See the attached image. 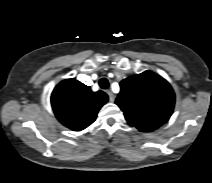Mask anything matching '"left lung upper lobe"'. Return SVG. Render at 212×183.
<instances>
[{"label": "left lung upper lobe", "instance_id": "obj_1", "mask_svg": "<svg viewBox=\"0 0 212 183\" xmlns=\"http://www.w3.org/2000/svg\"><path fill=\"white\" fill-rule=\"evenodd\" d=\"M120 87L116 104L131 126L141 132H151L170 118L175 95L161 76L145 71L122 80Z\"/></svg>", "mask_w": 212, "mask_h": 183}]
</instances>
